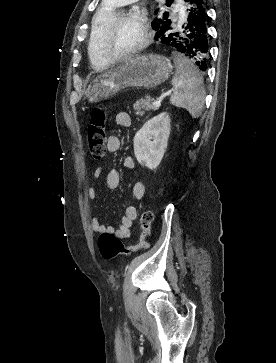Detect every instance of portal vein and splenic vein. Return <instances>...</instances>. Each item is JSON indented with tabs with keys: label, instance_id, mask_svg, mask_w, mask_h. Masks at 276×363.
<instances>
[{
	"label": "portal vein and splenic vein",
	"instance_id": "portal-vein-and-splenic-vein-1",
	"mask_svg": "<svg viewBox=\"0 0 276 363\" xmlns=\"http://www.w3.org/2000/svg\"><path fill=\"white\" fill-rule=\"evenodd\" d=\"M153 105H154L155 107H159V106H161V100H160V99H158V100L154 101V102H153Z\"/></svg>",
	"mask_w": 276,
	"mask_h": 363
}]
</instances>
